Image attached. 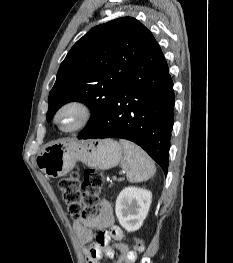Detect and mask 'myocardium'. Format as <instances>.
Returning a JSON list of instances; mask_svg holds the SVG:
<instances>
[{
	"label": "myocardium",
	"instance_id": "f54148a6",
	"mask_svg": "<svg viewBox=\"0 0 233 263\" xmlns=\"http://www.w3.org/2000/svg\"><path fill=\"white\" fill-rule=\"evenodd\" d=\"M69 110L76 111L79 114V120L71 128H63L60 125L59 118L62 113ZM91 117H92L91 109L85 102L80 100H71L65 102L58 108V110L54 115L53 121L60 131L64 133H73L85 127L89 123Z\"/></svg>",
	"mask_w": 233,
	"mask_h": 263
}]
</instances>
